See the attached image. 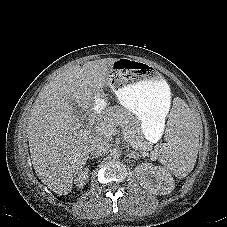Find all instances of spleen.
Returning a JSON list of instances; mask_svg holds the SVG:
<instances>
[{"instance_id":"1","label":"spleen","mask_w":227,"mask_h":227,"mask_svg":"<svg viewBox=\"0 0 227 227\" xmlns=\"http://www.w3.org/2000/svg\"><path fill=\"white\" fill-rule=\"evenodd\" d=\"M168 142L160 151V159L175 177L183 178L194 168L199 146V126L191 116L192 106L185 99L171 106Z\"/></svg>"}]
</instances>
